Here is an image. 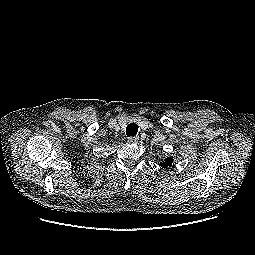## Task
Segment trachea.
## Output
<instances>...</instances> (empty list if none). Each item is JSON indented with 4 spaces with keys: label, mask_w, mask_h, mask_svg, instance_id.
<instances>
[{
    "label": "trachea",
    "mask_w": 255,
    "mask_h": 255,
    "mask_svg": "<svg viewBox=\"0 0 255 255\" xmlns=\"http://www.w3.org/2000/svg\"><path fill=\"white\" fill-rule=\"evenodd\" d=\"M138 132V125L136 123H130L126 128V135L128 137L136 136Z\"/></svg>",
    "instance_id": "3493384b"
}]
</instances>
